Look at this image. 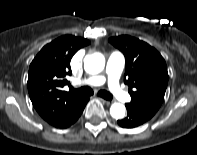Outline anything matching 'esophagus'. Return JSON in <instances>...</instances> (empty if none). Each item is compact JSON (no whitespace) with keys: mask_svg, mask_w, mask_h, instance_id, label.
I'll list each match as a JSON object with an SVG mask.
<instances>
[{"mask_svg":"<svg viewBox=\"0 0 197 155\" xmlns=\"http://www.w3.org/2000/svg\"><path fill=\"white\" fill-rule=\"evenodd\" d=\"M100 100H101L104 104H107V105L111 103L110 101L105 100V99H103V98H100Z\"/></svg>","mask_w":197,"mask_h":155,"instance_id":"34e87169","label":"esophagus"}]
</instances>
